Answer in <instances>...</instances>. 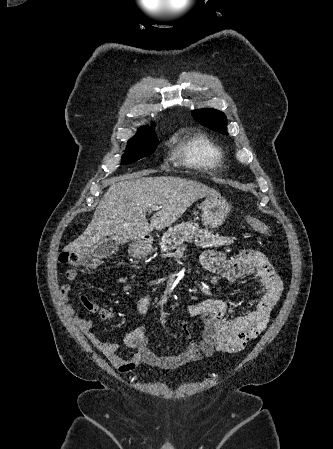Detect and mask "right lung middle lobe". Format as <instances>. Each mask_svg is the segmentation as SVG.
<instances>
[{
	"label": "right lung middle lobe",
	"mask_w": 333,
	"mask_h": 449,
	"mask_svg": "<svg viewBox=\"0 0 333 449\" xmlns=\"http://www.w3.org/2000/svg\"><path fill=\"white\" fill-rule=\"evenodd\" d=\"M139 132L146 137L141 140L129 141L126 153L122 157V164H130L152 154L158 144L156 134L152 128H141ZM138 132V133H139Z\"/></svg>",
	"instance_id": "obj_1"
}]
</instances>
